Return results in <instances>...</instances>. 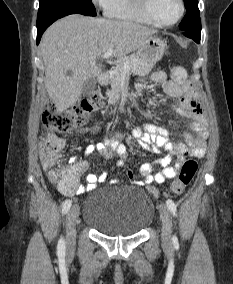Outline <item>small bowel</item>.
Instances as JSON below:
<instances>
[{
	"label": "small bowel",
	"instance_id": "1",
	"mask_svg": "<svg viewBox=\"0 0 233 284\" xmlns=\"http://www.w3.org/2000/svg\"><path fill=\"white\" fill-rule=\"evenodd\" d=\"M152 80L162 86L167 95L178 99L176 112L192 120L191 128L193 133L185 134L186 143H174L170 138L168 130L161 126L147 123L143 129L139 127L133 129L132 136L135 139L168 153L166 158L167 164L157 173L153 172L151 163L146 162L140 166V174L144 178L142 181H135L133 172H128L129 178L135 181L137 185L142 186L153 182L163 183L168 179L174 178L187 157L202 158L206 153V140L208 137L207 123L203 115L201 102L192 85L169 80L166 73L162 70L155 71L152 74ZM122 139L121 134L108 135L102 142L88 145L85 149V154L86 156L97 154L104 159H111L114 155H119L120 159L116 162V168H121L124 166L125 155L127 153V148ZM172 157H175L173 163H171ZM42 165L49 179L57 185L60 174L73 173L80 177L89 168L87 160L78 159L74 156L69 159V164L60 170L50 167L43 162ZM106 179L107 174L105 172L100 174L91 173L87 176V186H79L75 194L94 190L98 183H102Z\"/></svg>",
	"mask_w": 233,
	"mask_h": 284
}]
</instances>
